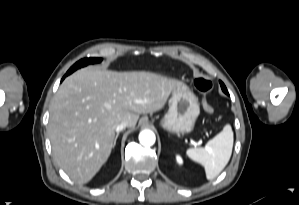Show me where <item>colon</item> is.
Returning a JSON list of instances; mask_svg holds the SVG:
<instances>
[{"label":"colon","mask_w":299,"mask_h":205,"mask_svg":"<svg viewBox=\"0 0 299 205\" xmlns=\"http://www.w3.org/2000/svg\"><path fill=\"white\" fill-rule=\"evenodd\" d=\"M196 89L202 95V104L206 113L212 114L214 112L213 106L208 100L207 96L213 90V83L204 77H199L194 82Z\"/></svg>","instance_id":"colon-1"}]
</instances>
